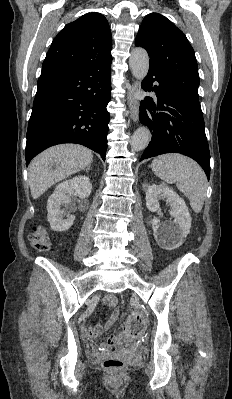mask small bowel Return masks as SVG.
I'll use <instances>...</instances> for the list:
<instances>
[{
	"label": "small bowel",
	"mask_w": 232,
	"mask_h": 399,
	"mask_svg": "<svg viewBox=\"0 0 232 399\" xmlns=\"http://www.w3.org/2000/svg\"><path fill=\"white\" fill-rule=\"evenodd\" d=\"M102 302L105 305H108L112 311L111 321L108 322L106 325H90L82 321H78L75 323L77 329L86 332V333H100L106 332L111 329L113 322L118 318L119 310L115 307L116 303L118 302V298L115 294H106L102 298Z\"/></svg>",
	"instance_id": "c3829d8e"
}]
</instances>
